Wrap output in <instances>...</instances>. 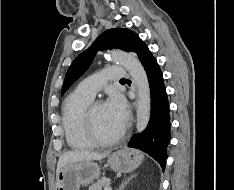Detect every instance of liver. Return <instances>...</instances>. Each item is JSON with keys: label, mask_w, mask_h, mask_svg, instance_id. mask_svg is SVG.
Listing matches in <instances>:
<instances>
[{"label": "liver", "mask_w": 234, "mask_h": 190, "mask_svg": "<svg viewBox=\"0 0 234 190\" xmlns=\"http://www.w3.org/2000/svg\"><path fill=\"white\" fill-rule=\"evenodd\" d=\"M107 155L108 153H97V152L83 151V150L65 152L59 157L56 174H58L60 169L68 163H74L78 161L101 160L105 158Z\"/></svg>", "instance_id": "liver-1"}]
</instances>
